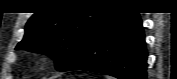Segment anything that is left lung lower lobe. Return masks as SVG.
<instances>
[{
    "label": "left lung lower lobe",
    "mask_w": 177,
    "mask_h": 79,
    "mask_svg": "<svg viewBox=\"0 0 177 79\" xmlns=\"http://www.w3.org/2000/svg\"><path fill=\"white\" fill-rule=\"evenodd\" d=\"M146 60L139 14L109 11L60 71L86 70L119 79H145Z\"/></svg>",
    "instance_id": "1"
}]
</instances>
